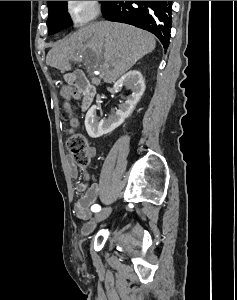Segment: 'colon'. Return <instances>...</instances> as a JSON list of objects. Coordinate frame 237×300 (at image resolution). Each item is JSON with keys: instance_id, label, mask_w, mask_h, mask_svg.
<instances>
[{"instance_id": "1", "label": "colon", "mask_w": 237, "mask_h": 300, "mask_svg": "<svg viewBox=\"0 0 237 300\" xmlns=\"http://www.w3.org/2000/svg\"><path fill=\"white\" fill-rule=\"evenodd\" d=\"M65 99V107L69 113H72L71 98L74 91L71 87L66 86L61 91ZM66 148L73 158L74 162L84 168L90 163L89 148L87 139L80 133H71L66 140Z\"/></svg>"}]
</instances>
